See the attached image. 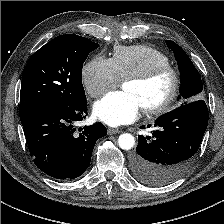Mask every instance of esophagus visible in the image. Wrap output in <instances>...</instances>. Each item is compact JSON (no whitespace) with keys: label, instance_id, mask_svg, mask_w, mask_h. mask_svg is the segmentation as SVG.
<instances>
[{"label":"esophagus","instance_id":"obj_1","mask_svg":"<svg viewBox=\"0 0 224 224\" xmlns=\"http://www.w3.org/2000/svg\"><path fill=\"white\" fill-rule=\"evenodd\" d=\"M120 132H121V131L118 130V129H113V128H109V129H108V134H109V135L118 134V133H120Z\"/></svg>","mask_w":224,"mask_h":224}]
</instances>
